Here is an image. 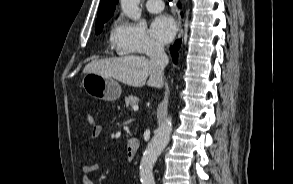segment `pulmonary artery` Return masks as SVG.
I'll list each match as a JSON object with an SVG mask.
<instances>
[{
    "instance_id": "pulmonary-artery-1",
    "label": "pulmonary artery",
    "mask_w": 293,
    "mask_h": 184,
    "mask_svg": "<svg viewBox=\"0 0 293 184\" xmlns=\"http://www.w3.org/2000/svg\"><path fill=\"white\" fill-rule=\"evenodd\" d=\"M146 8L150 13H159L164 9L162 0H148Z\"/></svg>"
}]
</instances>
